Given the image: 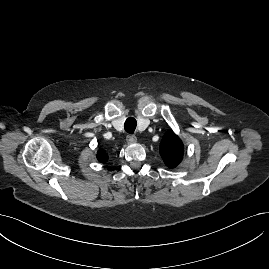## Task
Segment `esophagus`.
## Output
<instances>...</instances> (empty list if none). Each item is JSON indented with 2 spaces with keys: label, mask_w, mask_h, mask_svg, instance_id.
Masks as SVG:
<instances>
[{
  "label": "esophagus",
  "mask_w": 269,
  "mask_h": 269,
  "mask_svg": "<svg viewBox=\"0 0 269 269\" xmlns=\"http://www.w3.org/2000/svg\"><path fill=\"white\" fill-rule=\"evenodd\" d=\"M126 140L129 144H133L137 141V138L135 135H128Z\"/></svg>",
  "instance_id": "34e87169"
}]
</instances>
